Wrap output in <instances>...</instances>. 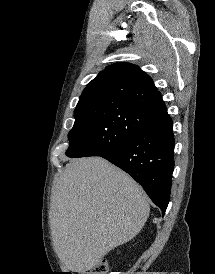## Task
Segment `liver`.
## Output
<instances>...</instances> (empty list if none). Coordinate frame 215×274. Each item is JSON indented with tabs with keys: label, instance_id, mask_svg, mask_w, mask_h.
Returning <instances> with one entry per match:
<instances>
[{
	"label": "liver",
	"instance_id": "6515ba94",
	"mask_svg": "<svg viewBox=\"0 0 215 274\" xmlns=\"http://www.w3.org/2000/svg\"><path fill=\"white\" fill-rule=\"evenodd\" d=\"M150 206L142 187L101 157L72 160L56 179L50 225L64 269L85 273L143 228Z\"/></svg>",
	"mask_w": 215,
	"mask_h": 274
}]
</instances>
